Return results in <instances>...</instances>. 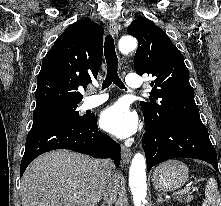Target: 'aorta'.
<instances>
[{
    "label": "aorta",
    "instance_id": "obj_1",
    "mask_svg": "<svg viewBox=\"0 0 221 206\" xmlns=\"http://www.w3.org/2000/svg\"><path fill=\"white\" fill-rule=\"evenodd\" d=\"M137 47V40L133 36H124L119 40V50L123 54L132 52ZM129 186L133 194L135 206H144L146 203V160L143 154L136 153L129 169Z\"/></svg>",
    "mask_w": 221,
    "mask_h": 206
}]
</instances>
